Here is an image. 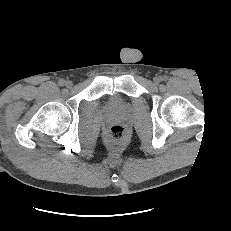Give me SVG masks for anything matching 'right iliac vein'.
<instances>
[{
    "mask_svg": "<svg viewBox=\"0 0 231 231\" xmlns=\"http://www.w3.org/2000/svg\"><path fill=\"white\" fill-rule=\"evenodd\" d=\"M65 85H66L68 88H71L72 85H73V83H72V81H66V82H65Z\"/></svg>",
    "mask_w": 231,
    "mask_h": 231,
    "instance_id": "1",
    "label": "right iliac vein"
}]
</instances>
